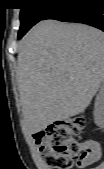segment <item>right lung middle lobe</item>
Returning <instances> with one entry per match:
<instances>
[{
	"mask_svg": "<svg viewBox=\"0 0 104 169\" xmlns=\"http://www.w3.org/2000/svg\"><path fill=\"white\" fill-rule=\"evenodd\" d=\"M20 20L18 33L20 39L33 25L45 17L58 5L56 0H21Z\"/></svg>",
	"mask_w": 104,
	"mask_h": 169,
	"instance_id": "obj_1",
	"label": "right lung middle lobe"
}]
</instances>
